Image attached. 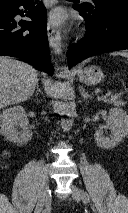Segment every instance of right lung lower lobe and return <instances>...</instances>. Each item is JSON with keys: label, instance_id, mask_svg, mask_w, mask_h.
<instances>
[{"label": "right lung lower lobe", "instance_id": "obj_1", "mask_svg": "<svg viewBox=\"0 0 128 213\" xmlns=\"http://www.w3.org/2000/svg\"><path fill=\"white\" fill-rule=\"evenodd\" d=\"M20 6L29 9L27 16L34 22L18 23L14 20L16 15H23ZM46 18L42 2L34 6L32 0H20L0 7V56L21 58L36 69L52 74L54 69L50 63Z\"/></svg>", "mask_w": 128, "mask_h": 213}]
</instances>
